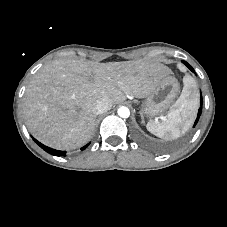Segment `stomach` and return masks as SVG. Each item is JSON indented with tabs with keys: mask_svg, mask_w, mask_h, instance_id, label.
I'll return each mask as SVG.
<instances>
[{
	"mask_svg": "<svg viewBox=\"0 0 227 227\" xmlns=\"http://www.w3.org/2000/svg\"><path fill=\"white\" fill-rule=\"evenodd\" d=\"M180 92L179 82L173 76L164 77L147 96L142 104L141 113L154 117L165 112Z\"/></svg>",
	"mask_w": 227,
	"mask_h": 227,
	"instance_id": "0dacf381",
	"label": "stomach"
}]
</instances>
